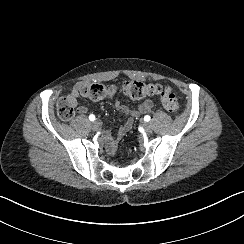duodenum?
Listing matches in <instances>:
<instances>
[{
  "mask_svg": "<svg viewBox=\"0 0 244 244\" xmlns=\"http://www.w3.org/2000/svg\"><path fill=\"white\" fill-rule=\"evenodd\" d=\"M111 145H112V146L114 145V141L111 142Z\"/></svg>",
  "mask_w": 244,
  "mask_h": 244,
  "instance_id": "410a0bca",
  "label": "duodenum"
}]
</instances>
